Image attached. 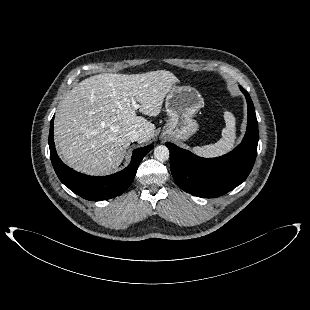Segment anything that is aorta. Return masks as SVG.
<instances>
[{"label":"aorta","mask_w":310,"mask_h":310,"mask_svg":"<svg viewBox=\"0 0 310 310\" xmlns=\"http://www.w3.org/2000/svg\"><path fill=\"white\" fill-rule=\"evenodd\" d=\"M170 153L165 145H159L154 149V157L158 161H166L169 159Z\"/></svg>","instance_id":"1"}]
</instances>
